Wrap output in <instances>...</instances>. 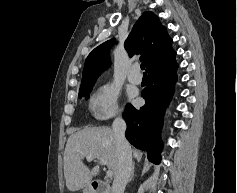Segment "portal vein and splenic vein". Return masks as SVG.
<instances>
[{
	"label": "portal vein and splenic vein",
	"instance_id": "1",
	"mask_svg": "<svg viewBox=\"0 0 237 193\" xmlns=\"http://www.w3.org/2000/svg\"><path fill=\"white\" fill-rule=\"evenodd\" d=\"M95 158H97L100 161L101 164L106 165V160L104 158L100 157V156H93V155H87L86 156V159L88 161H91V160H93ZM106 175H107V177H112L113 176V172L111 170H108L106 172Z\"/></svg>",
	"mask_w": 237,
	"mask_h": 193
}]
</instances>
